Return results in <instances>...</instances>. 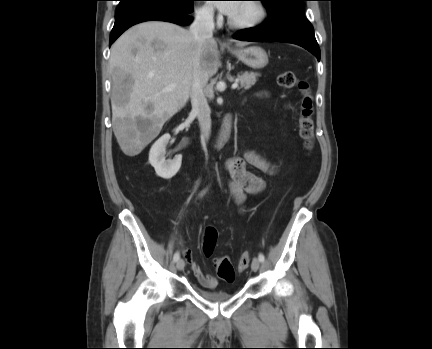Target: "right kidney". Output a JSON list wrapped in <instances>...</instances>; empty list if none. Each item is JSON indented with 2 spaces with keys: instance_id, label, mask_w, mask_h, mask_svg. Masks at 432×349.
I'll list each match as a JSON object with an SVG mask.
<instances>
[{
  "instance_id": "ca27d5eb",
  "label": "right kidney",
  "mask_w": 432,
  "mask_h": 349,
  "mask_svg": "<svg viewBox=\"0 0 432 349\" xmlns=\"http://www.w3.org/2000/svg\"><path fill=\"white\" fill-rule=\"evenodd\" d=\"M170 140L169 134H164L151 147L149 163L154 167L156 174L163 179H171L179 171L182 156L178 155L173 160H165L166 146Z\"/></svg>"
}]
</instances>
